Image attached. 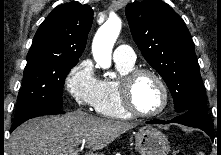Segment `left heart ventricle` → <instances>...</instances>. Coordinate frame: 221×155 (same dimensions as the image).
<instances>
[{"label": "left heart ventricle", "mask_w": 221, "mask_h": 155, "mask_svg": "<svg viewBox=\"0 0 221 155\" xmlns=\"http://www.w3.org/2000/svg\"><path fill=\"white\" fill-rule=\"evenodd\" d=\"M133 99L136 107L142 112H154L163 102L160 86L154 78L148 75L141 76L133 88Z\"/></svg>", "instance_id": "b2bd125f"}]
</instances>
